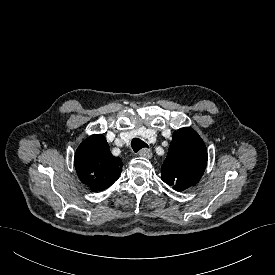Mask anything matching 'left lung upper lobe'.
Here are the masks:
<instances>
[{
    "label": "left lung upper lobe",
    "instance_id": "1",
    "mask_svg": "<svg viewBox=\"0 0 275 275\" xmlns=\"http://www.w3.org/2000/svg\"><path fill=\"white\" fill-rule=\"evenodd\" d=\"M207 165V149L191 128L178 129L172 137L168 155L161 167L162 180L183 191L199 182Z\"/></svg>",
    "mask_w": 275,
    "mask_h": 275
}]
</instances>
